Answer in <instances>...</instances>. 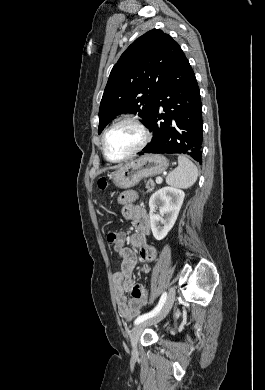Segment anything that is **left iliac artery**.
<instances>
[{"label": "left iliac artery", "mask_w": 265, "mask_h": 390, "mask_svg": "<svg viewBox=\"0 0 265 390\" xmlns=\"http://www.w3.org/2000/svg\"><path fill=\"white\" fill-rule=\"evenodd\" d=\"M166 297H167V293L164 292L159 300L158 305L151 312L143 314V315L139 316L138 318H136V320L134 321V324L137 325V324L153 317L154 315H156L160 311V309L162 308V306L166 300Z\"/></svg>", "instance_id": "left-iliac-artery-1"}]
</instances>
